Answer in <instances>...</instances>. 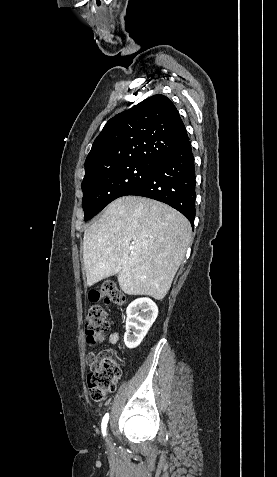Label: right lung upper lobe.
Segmentation results:
<instances>
[{
    "label": "right lung upper lobe",
    "mask_w": 277,
    "mask_h": 477,
    "mask_svg": "<svg viewBox=\"0 0 277 477\" xmlns=\"http://www.w3.org/2000/svg\"><path fill=\"white\" fill-rule=\"evenodd\" d=\"M188 141L172 101L161 94L153 95L105 124L86 158L85 172L131 162L155 163Z\"/></svg>",
    "instance_id": "cb5924a9"
}]
</instances>
